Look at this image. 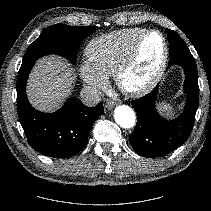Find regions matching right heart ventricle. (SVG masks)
Wrapping results in <instances>:
<instances>
[{"instance_id": "1", "label": "right heart ventricle", "mask_w": 211, "mask_h": 211, "mask_svg": "<svg viewBox=\"0 0 211 211\" xmlns=\"http://www.w3.org/2000/svg\"><path fill=\"white\" fill-rule=\"evenodd\" d=\"M144 28H128L92 39L86 47L89 63L104 77H113Z\"/></svg>"}]
</instances>
